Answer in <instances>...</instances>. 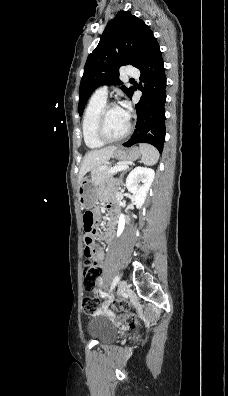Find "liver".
Segmentation results:
<instances>
[{"instance_id": "liver-1", "label": "liver", "mask_w": 228, "mask_h": 396, "mask_svg": "<svg viewBox=\"0 0 228 396\" xmlns=\"http://www.w3.org/2000/svg\"><path fill=\"white\" fill-rule=\"evenodd\" d=\"M117 149L116 146H108L99 150H92L88 152L82 162L80 171L78 174V183L81 182L84 175L100 167L102 164L107 163L113 156V153Z\"/></svg>"}]
</instances>
